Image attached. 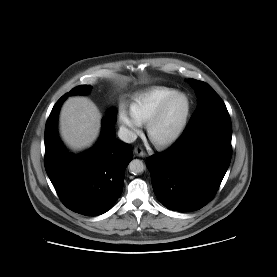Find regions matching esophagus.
<instances>
[{
  "instance_id": "esophagus-1",
  "label": "esophagus",
  "mask_w": 277,
  "mask_h": 277,
  "mask_svg": "<svg viewBox=\"0 0 277 277\" xmlns=\"http://www.w3.org/2000/svg\"><path fill=\"white\" fill-rule=\"evenodd\" d=\"M134 153L136 156L138 157H145L146 156V153L145 151L142 149L141 146H137L134 148Z\"/></svg>"
}]
</instances>
